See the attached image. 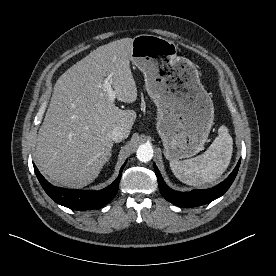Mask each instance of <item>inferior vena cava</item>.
I'll return each mask as SVG.
<instances>
[{
  "instance_id": "1",
  "label": "inferior vena cava",
  "mask_w": 276,
  "mask_h": 276,
  "mask_svg": "<svg viewBox=\"0 0 276 276\" xmlns=\"http://www.w3.org/2000/svg\"><path fill=\"white\" fill-rule=\"evenodd\" d=\"M127 137L126 132L124 131L123 127L117 126L113 129L111 138L115 142H120Z\"/></svg>"
}]
</instances>
